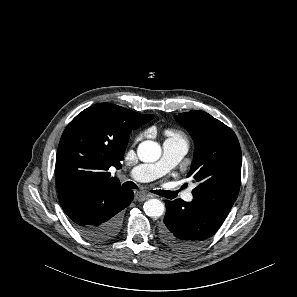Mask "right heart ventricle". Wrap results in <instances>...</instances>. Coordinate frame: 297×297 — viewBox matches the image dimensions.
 I'll use <instances>...</instances> for the list:
<instances>
[{"label": "right heart ventricle", "mask_w": 297, "mask_h": 297, "mask_svg": "<svg viewBox=\"0 0 297 297\" xmlns=\"http://www.w3.org/2000/svg\"><path fill=\"white\" fill-rule=\"evenodd\" d=\"M166 135H167V140L183 139L187 141L185 135L182 132L175 129L167 130Z\"/></svg>", "instance_id": "e07e8e85"}]
</instances>
